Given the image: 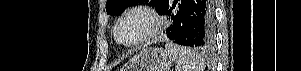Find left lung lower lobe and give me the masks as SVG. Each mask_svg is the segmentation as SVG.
I'll use <instances>...</instances> for the list:
<instances>
[{
    "instance_id": "left-lung-lower-lobe-1",
    "label": "left lung lower lobe",
    "mask_w": 301,
    "mask_h": 71,
    "mask_svg": "<svg viewBox=\"0 0 301 71\" xmlns=\"http://www.w3.org/2000/svg\"><path fill=\"white\" fill-rule=\"evenodd\" d=\"M171 19L167 36L184 46L208 48L214 42L212 0H167L160 11Z\"/></svg>"
}]
</instances>
